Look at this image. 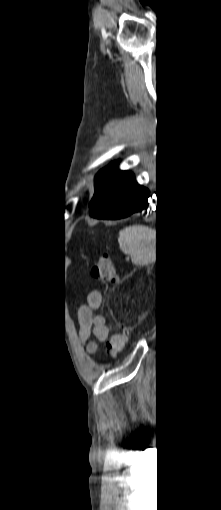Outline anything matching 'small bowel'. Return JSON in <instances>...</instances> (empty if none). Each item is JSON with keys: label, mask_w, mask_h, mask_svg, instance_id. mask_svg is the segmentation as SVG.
<instances>
[{"label": "small bowel", "mask_w": 221, "mask_h": 510, "mask_svg": "<svg viewBox=\"0 0 221 510\" xmlns=\"http://www.w3.org/2000/svg\"><path fill=\"white\" fill-rule=\"evenodd\" d=\"M101 303V292L93 289L88 294L87 305L79 309V336L83 342L88 341L92 332L98 341L104 342L108 338L109 329L105 324L104 317L94 314V311L100 309ZM88 349L90 353H95L96 345L92 343Z\"/></svg>", "instance_id": "c3829d8e"}]
</instances>
